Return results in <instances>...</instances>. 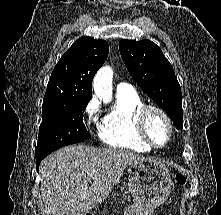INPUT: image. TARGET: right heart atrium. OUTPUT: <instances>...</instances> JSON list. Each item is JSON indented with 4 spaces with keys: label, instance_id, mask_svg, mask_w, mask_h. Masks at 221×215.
<instances>
[{
    "label": "right heart atrium",
    "instance_id": "d8ad5b80",
    "mask_svg": "<svg viewBox=\"0 0 221 215\" xmlns=\"http://www.w3.org/2000/svg\"><path fill=\"white\" fill-rule=\"evenodd\" d=\"M100 109V103L99 100L96 97H93L90 99V101L86 104L84 109V114L87 119V121H91L92 119H95Z\"/></svg>",
    "mask_w": 221,
    "mask_h": 215
}]
</instances>
